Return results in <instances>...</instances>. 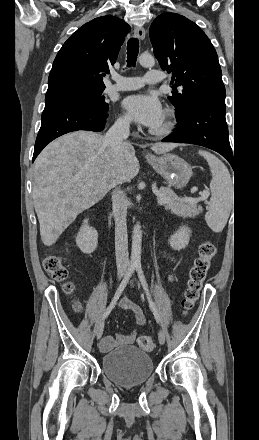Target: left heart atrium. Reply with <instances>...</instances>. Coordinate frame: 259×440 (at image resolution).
Returning <instances> with one entry per match:
<instances>
[{
    "label": "left heart atrium",
    "instance_id": "1",
    "mask_svg": "<svg viewBox=\"0 0 259 440\" xmlns=\"http://www.w3.org/2000/svg\"><path fill=\"white\" fill-rule=\"evenodd\" d=\"M122 105L133 121L147 127H156L164 117L160 101L152 95H129L123 99Z\"/></svg>",
    "mask_w": 259,
    "mask_h": 440
}]
</instances>
